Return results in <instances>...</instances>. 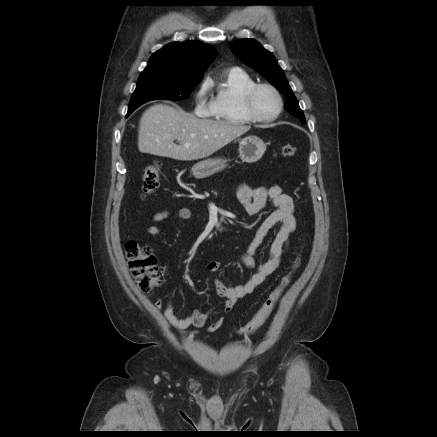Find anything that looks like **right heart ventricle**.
<instances>
[{"label": "right heart ventricle", "mask_w": 437, "mask_h": 437, "mask_svg": "<svg viewBox=\"0 0 437 437\" xmlns=\"http://www.w3.org/2000/svg\"><path fill=\"white\" fill-rule=\"evenodd\" d=\"M254 84L253 78L240 68H232L223 73L215 83L212 115L231 124L251 123L253 120L245 112L243 97Z\"/></svg>", "instance_id": "right-heart-ventricle-1"}]
</instances>
